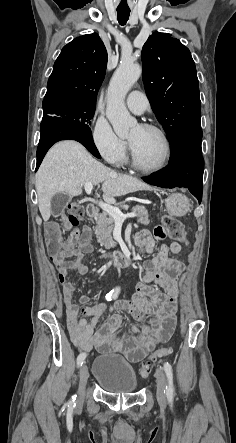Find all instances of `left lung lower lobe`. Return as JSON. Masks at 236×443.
Instances as JSON below:
<instances>
[{"instance_id":"1","label":"left lung lower lobe","mask_w":236,"mask_h":443,"mask_svg":"<svg viewBox=\"0 0 236 443\" xmlns=\"http://www.w3.org/2000/svg\"><path fill=\"white\" fill-rule=\"evenodd\" d=\"M201 139V126L189 127L180 131L171 141L169 165L148 177H143V180L163 188H188L200 203L204 168Z\"/></svg>"}]
</instances>
